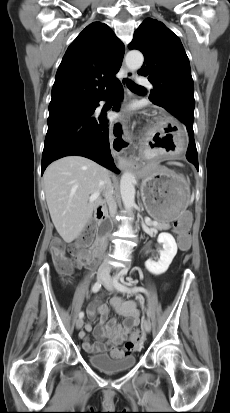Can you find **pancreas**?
<instances>
[{"label": "pancreas", "instance_id": "pancreas-1", "mask_svg": "<svg viewBox=\"0 0 230 413\" xmlns=\"http://www.w3.org/2000/svg\"><path fill=\"white\" fill-rule=\"evenodd\" d=\"M154 227L159 230H167L170 228V224L168 222L157 223Z\"/></svg>", "mask_w": 230, "mask_h": 413}]
</instances>
